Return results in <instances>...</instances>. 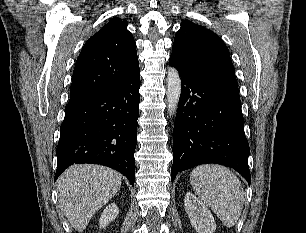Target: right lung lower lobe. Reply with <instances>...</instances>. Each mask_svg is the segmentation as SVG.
<instances>
[{
	"instance_id": "1",
	"label": "right lung lower lobe",
	"mask_w": 306,
	"mask_h": 233,
	"mask_svg": "<svg viewBox=\"0 0 306 233\" xmlns=\"http://www.w3.org/2000/svg\"><path fill=\"white\" fill-rule=\"evenodd\" d=\"M139 88L138 69L118 87L65 107L55 180L74 163H92L121 172L134 185Z\"/></svg>"
}]
</instances>
